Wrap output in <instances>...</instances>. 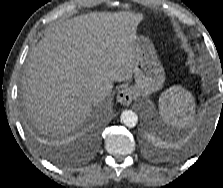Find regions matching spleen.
Listing matches in <instances>:
<instances>
[{
	"instance_id": "1",
	"label": "spleen",
	"mask_w": 223,
	"mask_h": 188,
	"mask_svg": "<svg viewBox=\"0 0 223 188\" xmlns=\"http://www.w3.org/2000/svg\"><path fill=\"white\" fill-rule=\"evenodd\" d=\"M194 99L190 92L173 86L161 94L159 112L164 121L175 127H184L193 121Z\"/></svg>"
}]
</instances>
